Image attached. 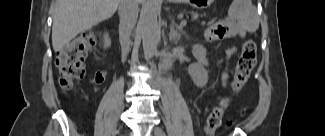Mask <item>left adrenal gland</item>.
<instances>
[{
  "label": "left adrenal gland",
  "mask_w": 325,
  "mask_h": 136,
  "mask_svg": "<svg viewBox=\"0 0 325 136\" xmlns=\"http://www.w3.org/2000/svg\"><path fill=\"white\" fill-rule=\"evenodd\" d=\"M183 33V28L182 26H179L175 23L174 20H172L171 26H170V33H169V40L174 43L178 41L180 38L181 34Z\"/></svg>",
  "instance_id": "left-adrenal-gland-1"
}]
</instances>
